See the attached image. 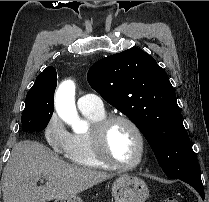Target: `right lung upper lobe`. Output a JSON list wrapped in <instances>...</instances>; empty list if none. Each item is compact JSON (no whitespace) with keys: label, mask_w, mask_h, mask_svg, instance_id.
Here are the masks:
<instances>
[{"label":"right lung upper lobe","mask_w":209,"mask_h":202,"mask_svg":"<svg viewBox=\"0 0 209 202\" xmlns=\"http://www.w3.org/2000/svg\"><path fill=\"white\" fill-rule=\"evenodd\" d=\"M42 80H50L57 85V73L56 69L52 66L47 67L41 74H39L36 78L35 82H39ZM55 85V88H56Z\"/></svg>","instance_id":"obj_1"}]
</instances>
